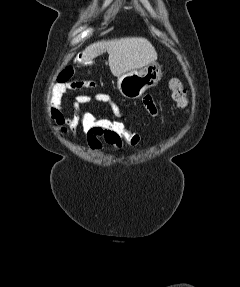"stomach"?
<instances>
[{
  "instance_id": "stomach-1",
  "label": "stomach",
  "mask_w": 240,
  "mask_h": 287,
  "mask_svg": "<svg viewBox=\"0 0 240 287\" xmlns=\"http://www.w3.org/2000/svg\"><path fill=\"white\" fill-rule=\"evenodd\" d=\"M161 77V66L154 62L141 70H131L120 75L117 87L125 98L136 99L147 89L157 85Z\"/></svg>"
}]
</instances>
